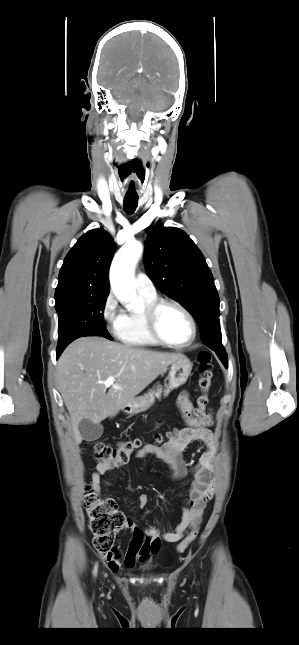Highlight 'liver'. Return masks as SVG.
I'll use <instances>...</instances> for the list:
<instances>
[{
    "label": "liver",
    "mask_w": 299,
    "mask_h": 645,
    "mask_svg": "<svg viewBox=\"0 0 299 645\" xmlns=\"http://www.w3.org/2000/svg\"><path fill=\"white\" fill-rule=\"evenodd\" d=\"M184 355L120 344L102 337H82L61 354L56 384L71 416L74 440L82 442L78 425L83 419L99 424L114 417L169 365ZM113 376V386L103 382ZM108 389V391H107Z\"/></svg>",
    "instance_id": "obj_1"
}]
</instances>
